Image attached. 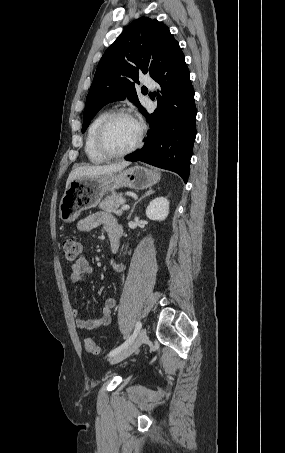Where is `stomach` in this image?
Here are the masks:
<instances>
[{"label": "stomach", "instance_id": "0dacf381", "mask_svg": "<svg viewBox=\"0 0 285 453\" xmlns=\"http://www.w3.org/2000/svg\"><path fill=\"white\" fill-rule=\"evenodd\" d=\"M160 178L161 174L156 170L133 166L112 174L75 179L60 201L59 218L71 223L82 211L96 207L106 193L120 187L144 190L158 183Z\"/></svg>", "mask_w": 285, "mask_h": 453}]
</instances>
